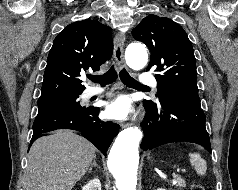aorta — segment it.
I'll return each mask as SVG.
<instances>
[{"label": "aorta", "mask_w": 238, "mask_h": 190, "mask_svg": "<svg viewBox=\"0 0 238 190\" xmlns=\"http://www.w3.org/2000/svg\"><path fill=\"white\" fill-rule=\"evenodd\" d=\"M127 65L135 70L144 68L148 54L143 44L131 43L126 50ZM142 132L137 127L122 130L108 156V168L116 180L118 190H136L139 163L138 147Z\"/></svg>", "instance_id": "obj_1"}]
</instances>
